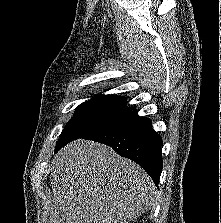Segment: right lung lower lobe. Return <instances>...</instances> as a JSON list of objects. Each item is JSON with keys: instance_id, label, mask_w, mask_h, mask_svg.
<instances>
[{"instance_id": "98d812e1", "label": "right lung lower lobe", "mask_w": 221, "mask_h": 223, "mask_svg": "<svg viewBox=\"0 0 221 223\" xmlns=\"http://www.w3.org/2000/svg\"><path fill=\"white\" fill-rule=\"evenodd\" d=\"M80 138L104 143L119 155L139 164L158 185L162 171V139L151 126V120L136 111L124 118Z\"/></svg>"}]
</instances>
